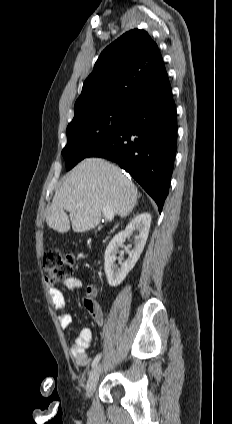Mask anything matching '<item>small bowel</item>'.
<instances>
[{
    "mask_svg": "<svg viewBox=\"0 0 232 424\" xmlns=\"http://www.w3.org/2000/svg\"><path fill=\"white\" fill-rule=\"evenodd\" d=\"M64 286L68 290H76L84 286L82 280L78 277H70L64 281ZM86 292L89 296L85 300V307L93 317L98 325L104 324V316L101 307L97 302L93 300V297L97 294V288L94 285H87ZM49 295L55 308L60 312L59 323L61 327L67 328L72 322V316L66 312V303L63 292L56 288H49ZM93 339L92 331L89 328H83L80 330L78 336L75 338L74 343L70 347V352L76 363L81 366H86L90 363L91 358L87 353Z\"/></svg>",
    "mask_w": 232,
    "mask_h": 424,
    "instance_id": "c3829d8e",
    "label": "small bowel"
}]
</instances>
